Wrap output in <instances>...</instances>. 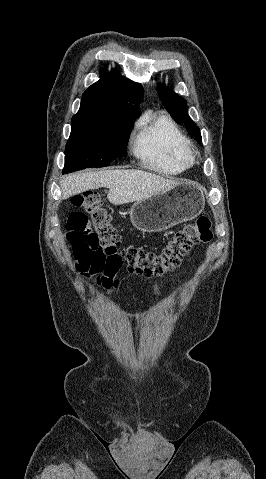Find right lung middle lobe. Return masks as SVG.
<instances>
[{
  "mask_svg": "<svg viewBox=\"0 0 266 479\" xmlns=\"http://www.w3.org/2000/svg\"><path fill=\"white\" fill-rule=\"evenodd\" d=\"M134 120L72 118L63 173L108 166L122 157Z\"/></svg>",
  "mask_w": 266,
  "mask_h": 479,
  "instance_id": "obj_1",
  "label": "right lung middle lobe"
}]
</instances>
